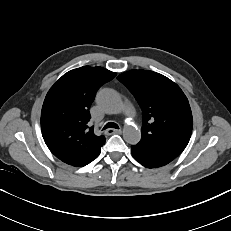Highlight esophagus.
Wrapping results in <instances>:
<instances>
[{
	"label": "esophagus",
	"mask_w": 231,
	"mask_h": 231,
	"mask_svg": "<svg viewBox=\"0 0 231 231\" xmlns=\"http://www.w3.org/2000/svg\"><path fill=\"white\" fill-rule=\"evenodd\" d=\"M122 132L121 129H108L106 131L107 134H120Z\"/></svg>",
	"instance_id": "34e87169"
}]
</instances>
